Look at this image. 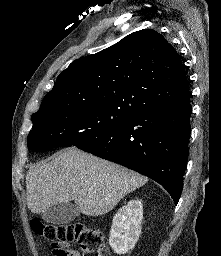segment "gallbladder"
Returning <instances> with one entry per match:
<instances>
[{
  "instance_id": "1",
  "label": "gallbladder",
  "mask_w": 221,
  "mask_h": 256,
  "mask_svg": "<svg viewBox=\"0 0 221 256\" xmlns=\"http://www.w3.org/2000/svg\"><path fill=\"white\" fill-rule=\"evenodd\" d=\"M79 214L77 205L68 202L51 206L43 212L42 218L48 223L63 225L73 221Z\"/></svg>"
}]
</instances>
